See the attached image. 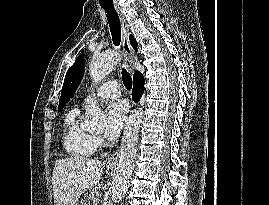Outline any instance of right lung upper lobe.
<instances>
[{
	"label": "right lung upper lobe",
	"instance_id": "cb5924a9",
	"mask_svg": "<svg viewBox=\"0 0 269 205\" xmlns=\"http://www.w3.org/2000/svg\"><path fill=\"white\" fill-rule=\"evenodd\" d=\"M130 43H131V45H132V47L134 48V49H136L137 48V42H136V40L134 39V37L132 36V35H130Z\"/></svg>",
	"mask_w": 269,
	"mask_h": 205
}]
</instances>
